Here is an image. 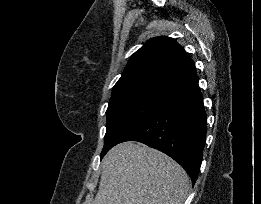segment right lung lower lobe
Wrapping results in <instances>:
<instances>
[{"instance_id":"1","label":"right lung lower lobe","mask_w":261,"mask_h":204,"mask_svg":"<svg viewBox=\"0 0 261 204\" xmlns=\"http://www.w3.org/2000/svg\"><path fill=\"white\" fill-rule=\"evenodd\" d=\"M198 76L169 91L144 118L114 144L138 141L177 161L197 180L205 144L207 116Z\"/></svg>"}]
</instances>
